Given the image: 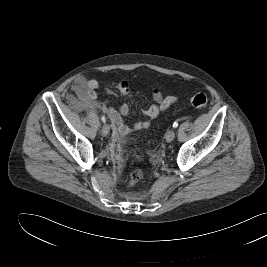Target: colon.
Returning <instances> with one entry per match:
<instances>
[{"instance_id": "5ec220e1", "label": "colon", "mask_w": 267, "mask_h": 267, "mask_svg": "<svg viewBox=\"0 0 267 267\" xmlns=\"http://www.w3.org/2000/svg\"><path fill=\"white\" fill-rule=\"evenodd\" d=\"M208 99L205 94L198 93L191 97V104L197 109L206 107ZM144 178V170L142 168L134 169L129 176L128 187H133Z\"/></svg>"}]
</instances>
